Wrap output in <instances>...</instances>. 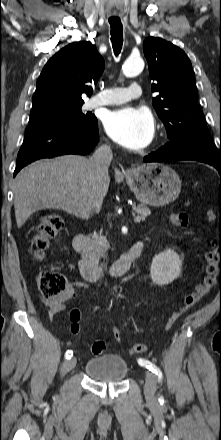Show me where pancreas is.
Returning a JSON list of instances; mask_svg holds the SVG:
<instances>
[{
	"mask_svg": "<svg viewBox=\"0 0 221 440\" xmlns=\"http://www.w3.org/2000/svg\"><path fill=\"white\" fill-rule=\"evenodd\" d=\"M133 210L141 217V219H145L151 214V210L146 205H138L137 207L134 206ZM104 242L105 239L102 235L94 233L86 248L85 255L93 260L98 259L100 256H102L105 250Z\"/></svg>",
	"mask_w": 221,
	"mask_h": 440,
	"instance_id": "obj_1",
	"label": "pancreas"
}]
</instances>
